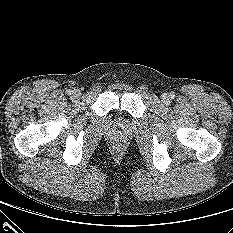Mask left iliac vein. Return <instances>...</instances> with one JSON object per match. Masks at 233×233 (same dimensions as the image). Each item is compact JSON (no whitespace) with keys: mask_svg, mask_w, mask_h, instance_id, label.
Segmentation results:
<instances>
[{"mask_svg":"<svg viewBox=\"0 0 233 233\" xmlns=\"http://www.w3.org/2000/svg\"><path fill=\"white\" fill-rule=\"evenodd\" d=\"M162 102L167 104L169 102V96L167 94H163L161 96Z\"/></svg>","mask_w":233,"mask_h":233,"instance_id":"4c4485c4","label":"left iliac vein"}]
</instances>
